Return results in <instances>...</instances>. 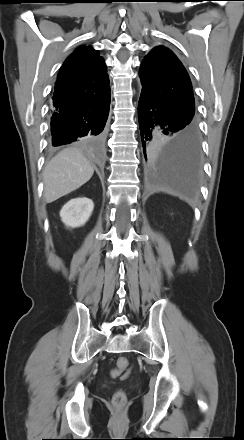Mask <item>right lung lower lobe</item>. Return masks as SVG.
<instances>
[{
	"mask_svg": "<svg viewBox=\"0 0 244 440\" xmlns=\"http://www.w3.org/2000/svg\"><path fill=\"white\" fill-rule=\"evenodd\" d=\"M109 106L110 94L96 102L69 111L53 110L51 117L52 145L60 146L95 136L102 138Z\"/></svg>",
	"mask_w": 244,
	"mask_h": 440,
	"instance_id": "1",
	"label": "right lung lower lobe"
}]
</instances>
